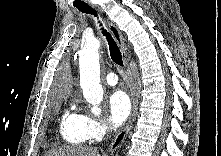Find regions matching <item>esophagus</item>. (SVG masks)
<instances>
[{
  "instance_id": "obj_1",
  "label": "esophagus",
  "mask_w": 221,
  "mask_h": 156,
  "mask_svg": "<svg viewBox=\"0 0 221 156\" xmlns=\"http://www.w3.org/2000/svg\"><path fill=\"white\" fill-rule=\"evenodd\" d=\"M90 5L92 8L97 9L94 5H92V4H90ZM97 10H99V9H97ZM107 25H108L111 33L113 34V36H114V38L120 48L123 62H124V71H125L126 75L128 76V78L130 79V81L132 82V74H131V70L129 67L127 48L125 46V41H124L123 35H122L121 31L118 29V27L115 24H113L111 21L107 20ZM131 97H132V113H131L129 122L124 127V129L116 136V138L111 142V144L108 147V152H114L123 143L128 131L130 130V128L132 127V125L136 119L138 100H137V94H136V90H135L133 83H132V88H131Z\"/></svg>"
}]
</instances>
